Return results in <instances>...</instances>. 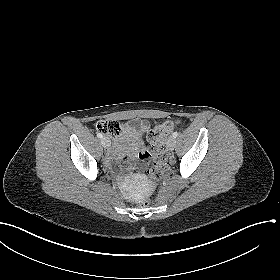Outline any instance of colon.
<instances>
[{"instance_id":"colon-1","label":"colon","mask_w":280,"mask_h":280,"mask_svg":"<svg viewBox=\"0 0 280 280\" xmlns=\"http://www.w3.org/2000/svg\"><path fill=\"white\" fill-rule=\"evenodd\" d=\"M175 123L165 121L162 124L151 129L147 134L150 143V149L153 155L154 163L149 169V175L154 179H161L169 167V156L165 145L167 134L173 129ZM96 129L109 136H119L121 127L116 121L101 120L96 124ZM150 197H144L140 202V207L146 208L151 205Z\"/></svg>"}]
</instances>
